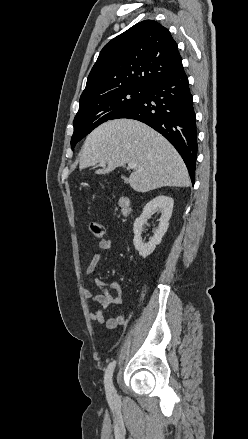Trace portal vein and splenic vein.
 <instances>
[{
	"instance_id": "1",
	"label": "portal vein and splenic vein",
	"mask_w": 248,
	"mask_h": 439,
	"mask_svg": "<svg viewBox=\"0 0 248 439\" xmlns=\"http://www.w3.org/2000/svg\"><path fill=\"white\" fill-rule=\"evenodd\" d=\"M100 165L104 167L106 165V163L105 162H101ZM128 167L130 169H137V165L135 163H133V162L128 163Z\"/></svg>"
}]
</instances>
